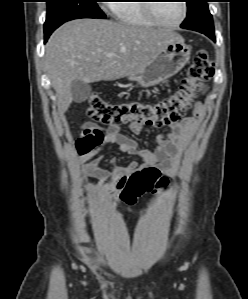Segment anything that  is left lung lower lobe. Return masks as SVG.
I'll return each mask as SVG.
<instances>
[{
	"label": "left lung lower lobe",
	"instance_id": "1",
	"mask_svg": "<svg viewBox=\"0 0 248 299\" xmlns=\"http://www.w3.org/2000/svg\"><path fill=\"white\" fill-rule=\"evenodd\" d=\"M200 31H201L200 33H203V34L207 35L209 38H211L213 41H215V34H214V32L209 31L207 29L200 30Z\"/></svg>",
	"mask_w": 248,
	"mask_h": 299
}]
</instances>
